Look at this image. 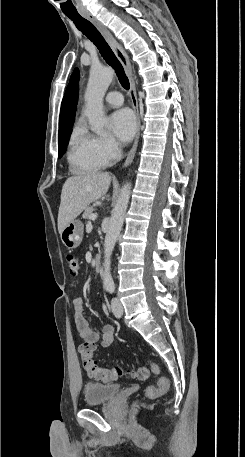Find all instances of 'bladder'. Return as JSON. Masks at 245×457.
I'll return each instance as SVG.
<instances>
[{
	"instance_id": "1",
	"label": "bladder",
	"mask_w": 245,
	"mask_h": 457,
	"mask_svg": "<svg viewBox=\"0 0 245 457\" xmlns=\"http://www.w3.org/2000/svg\"><path fill=\"white\" fill-rule=\"evenodd\" d=\"M120 386L107 383H85V405L92 406L99 403L109 402L116 395Z\"/></svg>"
}]
</instances>
